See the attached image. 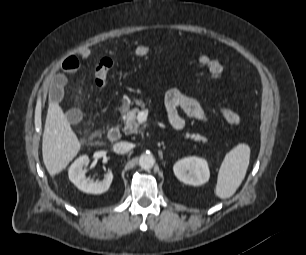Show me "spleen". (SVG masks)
I'll use <instances>...</instances> for the list:
<instances>
[{
	"label": "spleen",
	"mask_w": 306,
	"mask_h": 255,
	"mask_svg": "<svg viewBox=\"0 0 306 255\" xmlns=\"http://www.w3.org/2000/svg\"><path fill=\"white\" fill-rule=\"evenodd\" d=\"M250 148L241 143L228 152L220 166L215 194L221 199L230 198L245 178L249 165Z\"/></svg>",
	"instance_id": "3e777b00"
}]
</instances>
